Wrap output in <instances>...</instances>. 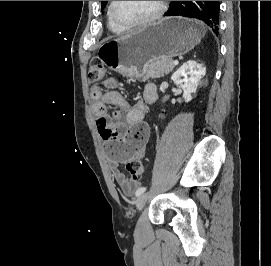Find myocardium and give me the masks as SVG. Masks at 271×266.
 <instances>
[{
    "label": "myocardium",
    "mask_w": 271,
    "mask_h": 266,
    "mask_svg": "<svg viewBox=\"0 0 271 266\" xmlns=\"http://www.w3.org/2000/svg\"><path fill=\"white\" fill-rule=\"evenodd\" d=\"M117 1H111L110 4V16L112 20L120 27L124 29H133V28H139L143 26L150 25L156 21H158L165 13L166 10V3L165 1H158L157 9L156 11L149 16L148 18L139 21V22H126L121 20L116 12H115V7H116Z\"/></svg>",
    "instance_id": "1"
}]
</instances>
